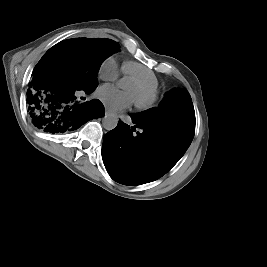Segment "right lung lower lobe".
I'll use <instances>...</instances> for the list:
<instances>
[{"label": "right lung lower lobe", "mask_w": 267, "mask_h": 267, "mask_svg": "<svg viewBox=\"0 0 267 267\" xmlns=\"http://www.w3.org/2000/svg\"><path fill=\"white\" fill-rule=\"evenodd\" d=\"M78 90L87 94L94 91L75 88L65 76L43 65L34 70L27 95L34 126L52 134L62 133L76 130L91 119L103 117L104 106L99 100L75 101Z\"/></svg>", "instance_id": "98d812e1"}]
</instances>
